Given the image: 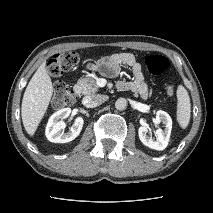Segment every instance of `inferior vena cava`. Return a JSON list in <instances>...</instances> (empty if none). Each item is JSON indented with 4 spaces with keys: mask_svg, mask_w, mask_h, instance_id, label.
Listing matches in <instances>:
<instances>
[{
    "mask_svg": "<svg viewBox=\"0 0 213 213\" xmlns=\"http://www.w3.org/2000/svg\"><path fill=\"white\" fill-rule=\"evenodd\" d=\"M106 100H107L106 95L94 94V95L85 96L82 100V103L84 106L88 108H93L102 104Z\"/></svg>",
    "mask_w": 213,
    "mask_h": 213,
    "instance_id": "inferior-vena-cava-1",
    "label": "inferior vena cava"
}]
</instances>
